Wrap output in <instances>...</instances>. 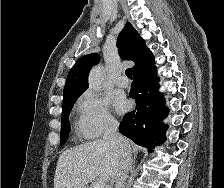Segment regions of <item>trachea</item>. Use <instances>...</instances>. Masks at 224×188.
Listing matches in <instances>:
<instances>
[{
    "label": "trachea",
    "mask_w": 224,
    "mask_h": 188,
    "mask_svg": "<svg viewBox=\"0 0 224 188\" xmlns=\"http://www.w3.org/2000/svg\"><path fill=\"white\" fill-rule=\"evenodd\" d=\"M125 74H126V76H127L129 79H132V70H131V68L127 69V70L125 71Z\"/></svg>",
    "instance_id": "obj_1"
}]
</instances>
